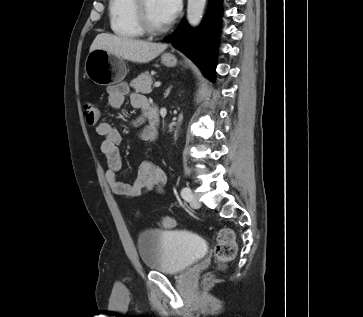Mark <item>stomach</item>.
Returning a JSON list of instances; mask_svg holds the SVG:
<instances>
[{
	"label": "stomach",
	"mask_w": 363,
	"mask_h": 317,
	"mask_svg": "<svg viewBox=\"0 0 363 317\" xmlns=\"http://www.w3.org/2000/svg\"><path fill=\"white\" fill-rule=\"evenodd\" d=\"M166 67H175L177 59L170 53L161 57ZM85 73L95 84L106 86L121 82L126 74V64L123 59L103 49L91 51L85 60Z\"/></svg>",
	"instance_id": "1"
}]
</instances>
